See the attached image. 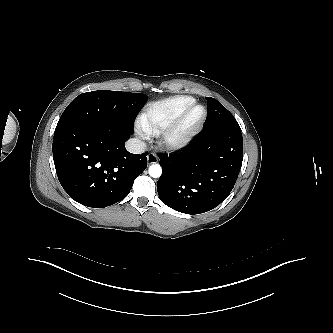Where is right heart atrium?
Wrapping results in <instances>:
<instances>
[{
  "mask_svg": "<svg viewBox=\"0 0 333 333\" xmlns=\"http://www.w3.org/2000/svg\"><path fill=\"white\" fill-rule=\"evenodd\" d=\"M137 134L142 138L145 137V132L141 128L137 130Z\"/></svg>",
  "mask_w": 333,
  "mask_h": 333,
  "instance_id": "d8ad5b80",
  "label": "right heart atrium"
}]
</instances>
